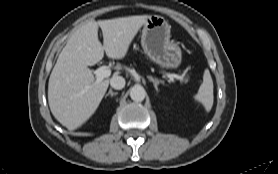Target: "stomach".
<instances>
[{"instance_id":"obj_1","label":"stomach","mask_w":278,"mask_h":174,"mask_svg":"<svg viewBox=\"0 0 278 174\" xmlns=\"http://www.w3.org/2000/svg\"><path fill=\"white\" fill-rule=\"evenodd\" d=\"M171 26L161 16L151 15L144 24L141 45L148 58L158 65L176 69L182 61L178 43L171 40Z\"/></svg>"}]
</instances>
